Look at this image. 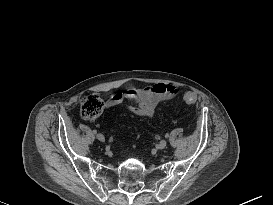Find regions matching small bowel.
<instances>
[{
    "label": "small bowel",
    "instance_id": "1",
    "mask_svg": "<svg viewBox=\"0 0 273 205\" xmlns=\"http://www.w3.org/2000/svg\"><path fill=\"white\" fill-rule=\"evenodd\" d=\"M177 94L174 86L169 84H152L144 88L130 87L124 91L113 93L104 103L106 109H111L124 101L134 102L126 110L136 116L152 117L156 107L164 101L173 99Z\"/></svg>",
    "mask_w": 273,
    "mask_h": 205
}]
</instances>
